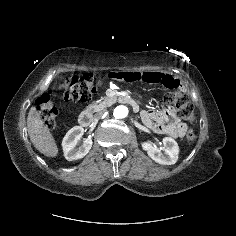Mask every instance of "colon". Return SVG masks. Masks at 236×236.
Segmentation results:
<instances>
[{
  "label": "colon",
  "instance_id": "5ec220e1",
  "mask_svg": "<svg viewBox=\"0 0 236 236\" xmlns=\"http://www.w3.org/2000/svg\"><path fill=\"white\" fill-rule=\"evenodd\" d=\"M60 88L64 98L69 101H86L96 91L94 79L89 74L67 76L62 80ZM170 89L174 90L166 95V102L176 107L179 117L194 123L196 121L195 108L188 100L187 95L180 92L177 88ZM36 109L46 127L49 129L54 128L58 117V108L52 101L50 93H45L37 99ZM195 138L196 132L193 129L188 130L186 139L194 141Z\"/></svg>",
  "mask_w": 236,
  "mask_h": 236
}]
</instances>
